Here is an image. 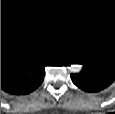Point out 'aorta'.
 Wrapping results in <instances>:
<instances>
[{
    "instance_id": "aorta-1",
    "label": "aorta",
    "mask_w": 115,
    "mask_h": 114,
    "mask_svg": "<svg viewBox=\"0 0 115 114\" xmlns=\"http://www.w3.org/2000/svg\"><path fill=\"white\" fill-rule=\"evenodd\" d=\"M81 64H72L71 66H68V70L72 73H77L81 70Z\"/></svg>"
}]
</instances>
